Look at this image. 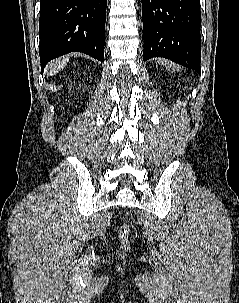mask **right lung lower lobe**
Returning <instances> with one entry per match:
<instances>
[{"instance_id":"right-lung-lower-lobe-1","label":"right lung lower lobe","mask_w":239,"mask_h":303,"mask_svg":"<svg viewBox=\"0 0 239 303\" xmlns=\"http://www.w3.org/2000/svg\"><path fill=\"white\" fill-rule=\"evenodd\" d=\"M106 6L107 0H40L41 70L74 51L103 62Z\"/></svg>"}]
</instances>
